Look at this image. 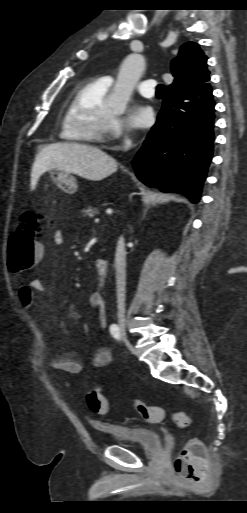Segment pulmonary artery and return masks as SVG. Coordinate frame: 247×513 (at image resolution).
I'll list each match as a JSON object with an SVG mask.
<instances>
[{
    "label": "pulmonary artery",
    "mask_w": 247,
    "mask_h": 513,
    "mask_svg": "<svg viewBox=\"0 0 247 513\" xmlns=\"http://www.w3.org/2000/svg\"><path fill=\"white\" fill-rule=\"evenodd\" d=\"M102 79L109 84L112 83L111 76H105ZM155 86H156V81L153 79H148V80L141 81L137 85V90L142 96L150 98V97H153L155 94V91H154Z\"/></svg>",
    "instance_id": "e3ab8cb5"
}]
</instances>
